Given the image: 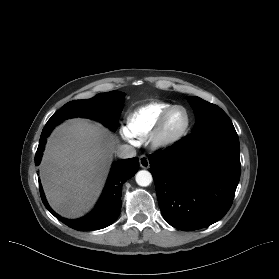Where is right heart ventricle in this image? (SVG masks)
<instances>
[{
	"label": "right heart ventricle",
	"instance_id": "e07e8e85",
	"mask_svg": "<svg viewBox=\"0 0 279 279\" xmlns=\"http://www.w3.org/2000/svg\"><path fill=\"white\" fill-rule=\"evenodd\" d=\"M172 104L168 102L155 101L140 106L126 118V130L128 133L140 139L149 135L158 118L164 110Z\"/></svg>",
	"mask_w": 279,
	"mask_h": 279
}]
</instances>
